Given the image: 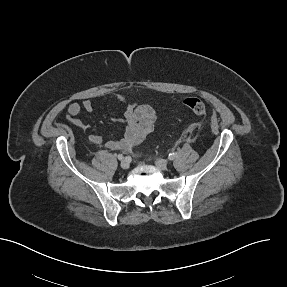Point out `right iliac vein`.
<instances>
[{
    "mask_svg": "<svg viewBox=\"0 0 287 287\" xmlns=\"http://www.w3.org/2000/svg\"><path fill=\"white\" fill-rule=\"evenodd\" d=\"M120 166L122 169L127 170L130 166V163L128 160L125 159V160L121 161Z\"/></svg>",
    "mask_w": 287,
    "mask_h": 287,
    "instance_id": "right-iliac-vein-1",
    "label": "right iliac vein"
}]
</instances>
